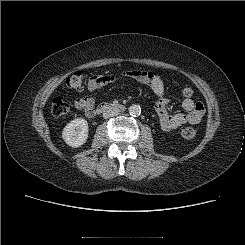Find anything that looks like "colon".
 I'll list each match as a JSON object with an SVG mask.
<instances>
[{"mask_svg":"<svg viewBox=\"0 0 245 245\" xmlns=\"http://www.w3.org/2000/svg\"><path fill=\"white\" fill-rule=\"evenodd\" d=\"M100 79L97 80V84L99 83ZM67 86L75 91H81L84 88V79L81 73H74L67 79ZM193 89L186 86L182 89V95L184 97H192L193 96ZM69 106L68 104L60 99L56 98L52 101L51 104V112L56 117L64 116L68 113ZM196 135V131L192 127H186L182 130V136L186 139H191Z\"/></svg>","mask_w":245,"mask_h":245,"instance_id":"colon-1","label":"colon"}]
</instances>
